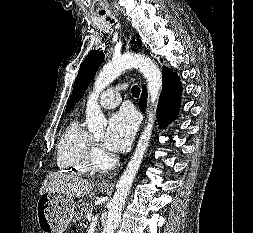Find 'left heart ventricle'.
<instances>
[{"label":"left heart ventricle","instance_id":"left-heart-ventricle-1","mask_svg":"<svg viewBox=\"0 0 253 233\" xmlns=\"http://www.w3.org/2000/svg\"><path fill=\"white\" fill-rule=\"evenodd\" d=\"M101 137H102V135H101V134H99V135H96V136H95V138H96L97 140H100V139H101Z\"/></svg>","mask_w":253,"mask_h":233}]
</instances>
